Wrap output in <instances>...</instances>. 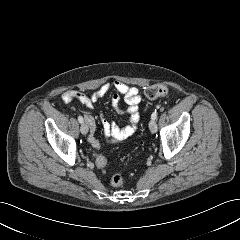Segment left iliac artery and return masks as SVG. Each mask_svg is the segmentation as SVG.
<instances>
[{
    "label": "left iliac artery",
    "instance_id": "obj_1",
    "mask_svg": "<svg viewBox=\"0 0 240 240\" xmlns=\"http://www.w3.org/2000/svg\"><path fill=\"white\" fill-rule=\"evenodd\" d=\"M156 118H157V111L155 110L151 115V119L155 120Z\"/></svg>",
    "mask_w": 240,
    "mask_h": 240
}]
</instances>
